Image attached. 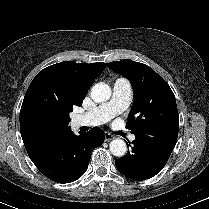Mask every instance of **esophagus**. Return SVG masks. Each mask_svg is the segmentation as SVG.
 I'll return each mask as SVG.
<instances>
[{
  "label": "esophagus",
  "instance_id": "34e87169",
  "mask_svg": "<svg viewBox=\"0 0 209 209\" xmlns=\"http://www.w3.org/2000/svg\"><path fill=\"white\" fill-rule=\"evenodd\" d=\"M114 138L115 137L110 133H105V135H104V141L105 142H109V141L113 140Z\"/></svg>",
  "mask_w": 209,
  "mask_h": 209
}]
</instances>
